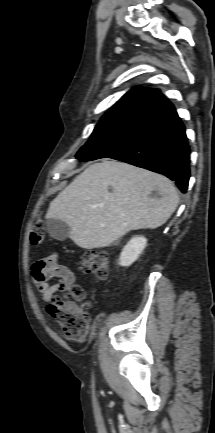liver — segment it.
<instances>
[{
	"mask_svg": "<svg viewBox=\"0 0 215 433\" xmlns=\"http://www.w3.org/2000/svg\"><path fill=\"white\" fill-rule=\"evenodd\" d=\"M178 202L167 177L104 160L90 165L61 191L45 218L66 222L76 245L94 249L109 246L131 230L162 226Z\"/></svg>",
	"mask_w": 215,
	"mask_h": 433,
	"instance_id": "obj_1",
	"label": "liver"
}]
</instances>
